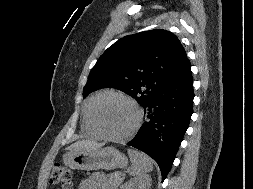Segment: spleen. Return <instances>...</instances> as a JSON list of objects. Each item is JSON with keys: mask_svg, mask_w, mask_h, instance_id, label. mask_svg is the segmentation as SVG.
<instances>
[{"mask_svg": "<svg viewBox=\"0 0 253 189\" xmlns=\"http://www.w3.org/2000/svg\"><path fill=\"white\" fill-rule=\"evenodd\" d=\"M128 155L131 161L130 174L132 176H143L153 170V160L143 152L128 149Z\"/></svg>", "mask_w": 253, "mask_h": 189, "instance_id": "obj_1", "label": "spleen"}]
</instances>
